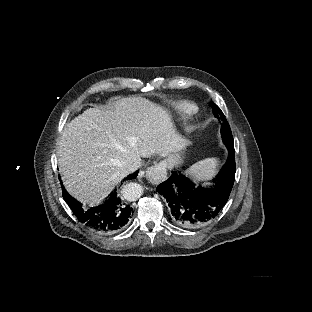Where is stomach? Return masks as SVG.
<instances>
[{
    "instance_id": "0dacf381",
    "label": "stomach",
    "mask_w": 312,
    "mask_h": 312,
    "mask_svg": "<svg viewBox=\"0 0 312 312\" xmlns=\"http://www.w3.org/2000/svg\"><path fill=\"white\" fill-rule=\"evenodd\" d=\"M181 146H180V150L170 154L164 161H162L163 165L167 168V169H173L174 167H178L179 165H181L183 163V159L181 157V152L182 150L185 148L186 144H187V140L183 139V141L180 142Z\"/></svg>"
}]
</instances>
